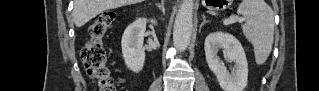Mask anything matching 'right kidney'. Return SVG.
<instances>
[{
	"label": "right kidney",
	"mask_w": 319,
	"mask_h": 91,
	"mask_svg": "<svg viewBox=\"0 0 319 91\" xmlns=\"http://www.w3.org/2000/svg\"><path fill=\"white\" fill-rule=\"evenodd\" d=\"M147 22L146 18L135 20L125 29L121 40L125 64L135 73L142 70L145 62V52L142 47ZM149 22L152 25L157 24L156 20L153 19H150Z\"/></svg>",
	"instance_id": "obj_1"
}]
</instances>
